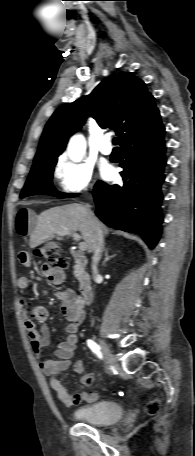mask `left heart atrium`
I'll use <instances>...</instances> for the list:
<instances>
[{
  "label": "left heart atrium",
  "mask_w": 195,
  "mask_h": 456,
  "mask_svg": "<svg viewBox=\"0 0 195 456\" xmlns=\"http://www.w3.org/2000/svg\"><path fill=\"white\" fill-rule=\"evenodd\" d=\"M103 175L107 178L111 177L112 176V170L110 168H105L103 170Z\"/></svg>",
  "instance_id": "obj_1"
}]
</instances>
